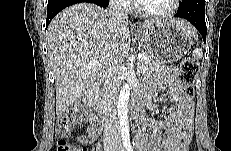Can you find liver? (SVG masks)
Returning <instances> with one entry per match:
<instances>
[{
    "label": "liver",
    "instance_id": "liver-1",
    "mask_svg": "<svg viewBox=\"0 0 231 151\" xmlns=\"http://www.w3.org/2000/svg\"><path fill=\"white\" fill-rule=\"evenodd\" d=\"M187 34L194 28L185 20L172 19ZM156 22L141 24L150 28ZM48 56L55 78L56 114L96 90L105 73L115 70L130 49L128 20L89 2L62 10L46 32ZM97 64L89 66L91 62Z\"/></svg>",
    "mask_w": 231,
    "mask_h": 151
}]
</instances>
